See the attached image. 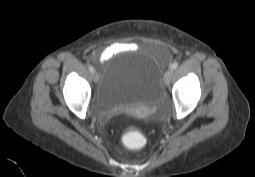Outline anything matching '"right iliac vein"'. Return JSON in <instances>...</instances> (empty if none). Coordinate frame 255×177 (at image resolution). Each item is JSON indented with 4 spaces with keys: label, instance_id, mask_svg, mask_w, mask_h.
I'll list each match as a JSON object with an SVG mask.
<instances>
[{
    "label": "right iliac vein",
    "instance_id": "63e3f726",
    "mask_svg": "<svg viewBox=\"0 0 255 177\" xmlns=\"http://www.w3.org/2000/svg\"><path fill=\"white\" fill-rule=\"evenodd\" d=\"M92 78L95 83L99 82V74L97 72L92 73Z\"/></svg>",
    "mask_w": 255,
    "mask_h": 177
}]
</instances>
